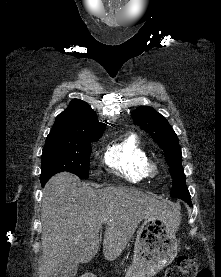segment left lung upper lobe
<instances>
[{
    "label": "left lung upper lobe",
    "instance_id": "5c2ea615",
    "mask_svg": "<svg viewBox=\"0 0 221 277\" xmlns=\"http://www.w3.org/2000/svg\"><path fill=\"white\" fill-rule=\"evenodd\" d=\"M135 122L164 150L165 159L170 167L172 182L171 197L185 199L190 197L185 184L181 165V149L178 138L168 121L151 107H139L133 111Z\"/></svg>",
    "mask_w": 221,
    "mask_h": 277
}]
</instances>
